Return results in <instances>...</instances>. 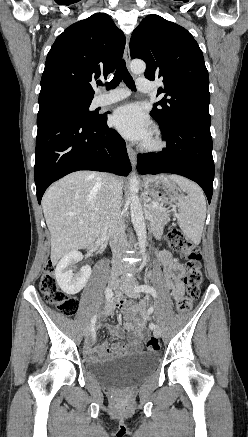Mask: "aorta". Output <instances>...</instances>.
<instances>
[{
  "mask_svg": "<svg viewBox=\"0 0 248 437\" xmlns=\"http://www.w3.org/2000/svg\"><path fill=\"white\" fill-rule=\"evenodd\" d=\"M146 69V64L141 60H133L130 63V70L134 74L144 73ZM139 179L135 172L131 174L130 178V213L132 224L138 238V244L140 247V252L145 256L146 249V224L144 220V214L142 209V204L138 196L139 191Z\"/></svg>",
  "mask_w": 248,
  "mask_h": 437,
  "instance_id": "obj_1",
  "label": "aorta"
}]
</instances>
